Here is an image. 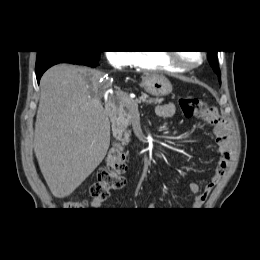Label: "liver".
<instances>
[{
	"label": "liver",
	"mask_w": 260,
	"mask_h": 260,
	"mask_svg": "<svg viewBox=\"0 0 260 260\" xmlns=\"http://www.w3.org/2000/svg\"><path fill=\"white\" fill-rule=\"evenodd\" d=\"M104 77L97 69L60 64L41 78L34 152L56 198L73 193L109 148L110 121L101 104L109 87Z\"/></svg>",
	"instance_id": "6515ba94"
}]
</instances>
